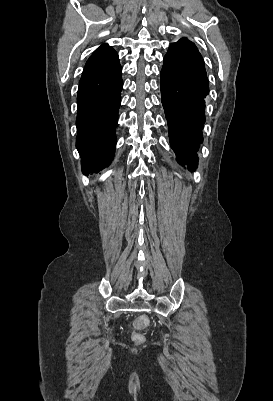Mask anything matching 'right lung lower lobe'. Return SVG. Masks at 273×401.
I'll return each mask as SVG.
<instances>
[{"label": "right lung lower lobe", "mask_w": 273, "mask_h": 401, "mask_svg": "<svg viewBox=\"0 0 273 401\" xmlns=\"http://www.w3.org/2000/svg\"><path fill=\"white\" fill-rule=\"evenodd\" d=\"M121 76L122 68L117 59L83 73L79 81L76 147L84 174L108 167L114 157L123 87Z\"/></svg>", "instance_id": "1"}]
</instances>
